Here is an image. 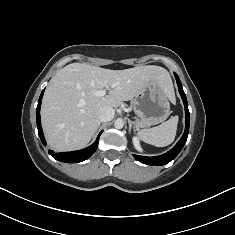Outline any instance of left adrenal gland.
<instances>
[{
  "label": "left adrenal gland",
  "mask_w": 235,
  "mask_h": 235,
  "mask_svg": "<svg viewBox=\"0 0 235 235\" xmlns=\"http://www.w3.org/2000/svg\"><path fill=\"white\" fill-rule=\"evenodd\" d=\"M128 120V124H129V133H131V129H132V121L130 119Z\"/></svg>",
  "instance_id": "obj_1"
}]
</instances>
